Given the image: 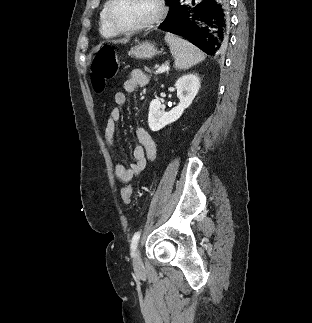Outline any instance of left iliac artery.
Here are the masks:
<instances>
[{
	"label": "left iliac artery",
	"instance_id": "1",
	"mask_svg": "<svg viewBox=\"0 0 312 323\" xmlns=\"http://www.w3.org/2000/svg\"><path fill=\"white\" fill-rule=\"evenodd\" d=\"M140 235H141V231H138L134 234L132 240H131V250H132V253L131 255L134 254V251L137 247V244H138V241H139V238H140Z\"/></svg>",
	"mask_w": 312,
	"mask_h": 323
}]
</instances>
